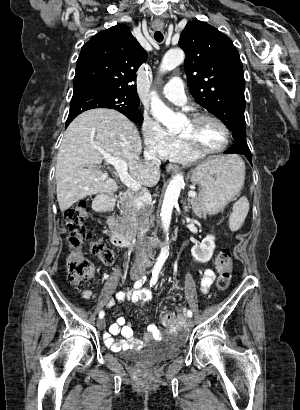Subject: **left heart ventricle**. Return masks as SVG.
Listing matches in <instances>:
<instances>
[{
  "label": "left heart ventricle",
  "instance_id": "b2bd125f",
  "mask_svg": "<svg viewBox=\"0 0 300 410\" xmlns=\"http://www.w3.org/2000/svg\"><path fill=\"white\" fill-rule=\"evenodd\" d=\"M180 135L192 136L198 147L207 151L221 147L225 141L223 129L211 120H203L197 124L187 121Z\"/></svg>",
  "mask_w": 300,
  "mask_h": 410
}]
</instances>
